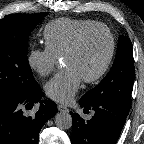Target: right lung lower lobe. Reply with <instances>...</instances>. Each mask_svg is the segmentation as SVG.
I'll return each instance as SVG.
<instances>
[{
	"label": "right lung lower lobe",
	"instance_id": "obj_1",
	"mask_svg": "<svg viewBox=\"0 0 144 144\" xmlns=\"http://www.w3.org/2000/svg\"><path fill=\"white\" fill-rule=\"evenodd\" d=\"M39 88L34 93L20 98L0 100V144H38L43 125L57 112L53 101H41ZM40 102L34 116H28L24 109H31Z\"/></svg>",
	"mask_w": 144,
	"mask_h": 144
}]
</instances>
